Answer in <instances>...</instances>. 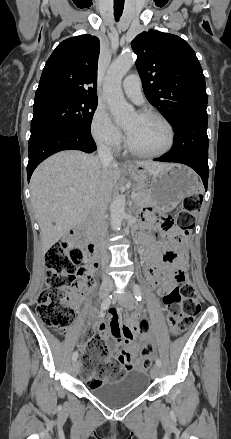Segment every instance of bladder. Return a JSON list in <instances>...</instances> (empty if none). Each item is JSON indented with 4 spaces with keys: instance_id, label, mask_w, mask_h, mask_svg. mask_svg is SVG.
Listing matches in <instances>:
<instances>
[{
    "instance_id": "31cf9c89",
    "label": "bladder",
    "mask_w": 231,
    "mask_h": 439,
    "mask_svg": "<svg viewBox=\"0 0 231 439\" xmlns=\"http://www.w3.org/2000/svg\"><path fill=\"white\" fill-rule=\"evenodd\" d=\"M150 380L147 370L133 368L128 369L121 380L90 387L89 392L108 407L119 408L143 395Z\"/></svg>"
}]
</instances>
